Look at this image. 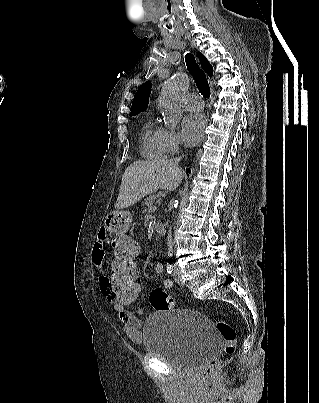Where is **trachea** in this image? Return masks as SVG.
Masks as SVG:
<instances>
[{"label":"trachea","instance_id":"obj_1","mask_svg":"<svg viewBox=\"0 0 319 403\" xmlns=\"http://www.w3.org/2000/svg\"><path fill=\"white\" fill-rule=\"evenodd\" d=\"M186 66L195 80L196 86L205 98L210 97V87L206 79L205 73L200 69L195 57L191 53H187L185 56Z\"/></svg>","mask_w":319,"mask_h":403}]
</instances>
